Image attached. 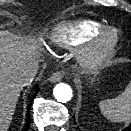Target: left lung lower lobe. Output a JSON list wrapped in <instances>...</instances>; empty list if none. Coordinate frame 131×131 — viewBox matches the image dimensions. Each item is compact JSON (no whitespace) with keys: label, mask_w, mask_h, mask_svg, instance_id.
Wrapping results in <instances>:
<instances>
[{"label":"left lung lower lobe","mask_w":131,"mask_h":131,"mask_svg":"<svg viewBox=\"0 0 131 131\" xmlns=\"http://www.w3.org/2000/svg\"><path fill=\"white\" fill-rule=\"evenodd\" d=\"M130 59H131V57H130ZM123 131H131V124L128 127H126Z\"/></svg>","instance_id":"1"}]
</instances>
